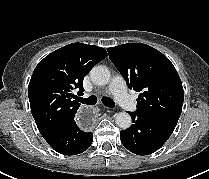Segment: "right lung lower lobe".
<instances>
[{
	"label": "right lung lower lobe",
	"mask_w": 209,
	"mask_h": 179,
	"mask_svg": "<svg viewBox=\"0 0 209 179\" xmlns=\"http://www.w3.org/2000/svg\"><path fill=\"white\" fill-rule=\"evenodd\" d=\"M44 139L58 153L76 155L90 147L93 134L81 130L73 118Z\"/></svg>",
	"instance_id": "98d812e1"
}]
</instances>
